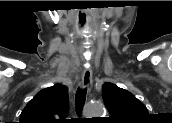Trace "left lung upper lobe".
<instances>
[{"label": "left lung upper lobe", "mask_w": 172, "mask_h": 123, "mask_svg": "<svg viewBox=\"0 0 172 123\" xmlns=\"http://www.w3.org/2000/svg\"><path fill=\"white\" fill-rule=\"evenodd\" d=\"M103 101L111 116L109 120L118 123H131L148 116L146 106L129 91L106 82L102 86Z\"/></svg>", "instance_id": "left-lung-upper-lobe-1"}]
</instances>
